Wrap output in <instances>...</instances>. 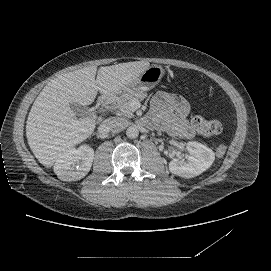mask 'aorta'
<instances>
[{"mask_svg":"<svg viewBox=\"0 0 271 271\" xmlns=\"http://www.w3.org/2000/svg\"><path fill=\"white\" fill-rule=\"evenodd\" d=\"M126 136L130 139H135L139 136V130L135 126H129L126 129Z\"/></svg>","mask_w":271,"mask_h":271,"instance_id":"obj_1","label":"aorta"}]
</instances>
